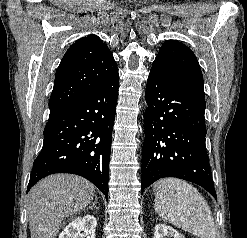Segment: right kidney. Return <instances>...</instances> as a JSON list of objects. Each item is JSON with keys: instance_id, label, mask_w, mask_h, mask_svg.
Returning <instances> with one entry per match:
<instances>
[{"instance_id": "ca27d5eb", "label": "right kidney", "mask_w": 247, "mask_h": 238, "mask_svg": "<svg viewBox=\"0 0 247 238\" xmlns=\"http://www.w3.org/2000/svg\"><path fill=\"white\" fill-rule=\"evenodd\" d=\"M96 226L97 219L93 215H85L83 218L78 217L64 228L59 238H77L80 231H84L90 238H95Z\"/></svg>"}]
</instances>
